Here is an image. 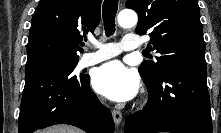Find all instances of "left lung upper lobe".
<instances>
[{"label": "left lung upper lobe", "instance_id": "obj_1", "mask_svg": "<svg viewBox=\"0 0 221 133\" xmlns=\"http://www.w3.org/2000/svg\"><path fill=\"white\" fill-rule=\"evenodd\" d=\"M138 13L136 33L150 32V48L161 54L145 61L139 73L155 81L169 68L185 66L206 70L205 42L197 0H127Z\"/></svg>", "mask_w": 221, "mask_h": 133}]
</instances>
